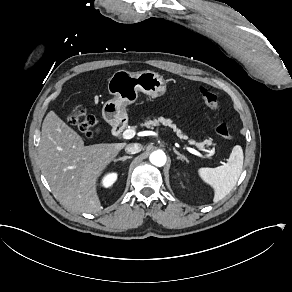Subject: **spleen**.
Returning a JSON list of instances; mask_svg holds the SVG:
<instances>
[{"label":"spleen","instance_id":"obj_1","mask_svg":"<svg viewBox=\"0 0 292 292\" xmlns=\"http://www.w3.org/2000/svg\"><path fill=\"white\" fill-rule=\"evenodd\" d=\"M243 150L240 145L233 147L226 164L216 168H200V177L214 188V202L222 200L236 185L243 167Z\"/></svg>","mask_w":292,"mask_h":292}]
</instances>
